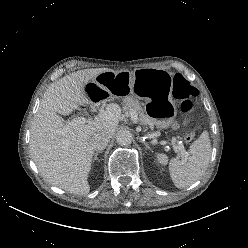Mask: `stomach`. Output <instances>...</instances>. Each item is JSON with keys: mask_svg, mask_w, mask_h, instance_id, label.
<instances>
[{"mask_svg": "<svg viewBox=\"0 0 248 248\" xmlns=\"http://www.w3.org/2000/svg\"><path fill=\"white\" fill-rule=\"evenodd\" d=\"M172 74L164 69L143 68L135 71H105L97 75L89 85L91 95L100 101L106 97L127 98L136 94L145 99V113L158 129L168 128L177 115L172 101ZM139 85L140 90L136 87Z\"/></svg>", "mask_w": 248, "mask_h": 248, "instance_id": "0dacf381", "label": "stomach"}]
</instances>
